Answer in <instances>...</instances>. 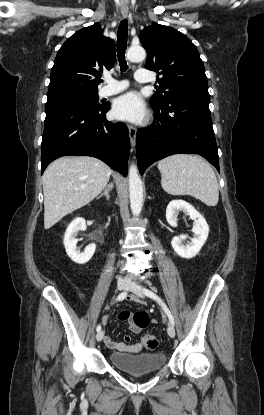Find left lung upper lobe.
Instances as JSON below:
<instances>
[{
    "label": "left lung upper lobe",
    "instance_id": "1",
    "mask_svg": "<svg viewBox=\"0 0 264 415\" xmlns=\"http://www.w3.org/2000/svg\"><path fill=\"white\" fill-rule=\"evenodd\" d=\"M141 42L147 51L145 68L155 71L159 81V91L150 98L151 105H165L184 95L209 97L203 61L185 35L154 24L141 32Z\"/></svg>",
    "mask_w": 264,
    "mask_h": 415
}]
</instances>
